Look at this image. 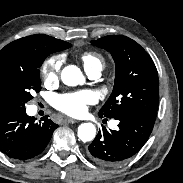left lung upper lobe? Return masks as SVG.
<instances>
[{"mask_svg":"<svg viewBox=\"0 0 183 183\" xmlns=\"http://www.w3.org/2000/svg\"><path fill=\"white\" fill-rule=\"evenodd\" d=\"M92 44L112 54L116 65L112 94L99 116L114 118L125 113L155 119L159 99L158 73L148 53L134 40L111 35Z\"/></svg>","mask_w":183,"mask_h":183,"instance_id":"obj_1","label":"left lung upper lobe"}]
</instances>
